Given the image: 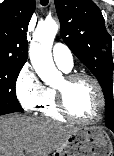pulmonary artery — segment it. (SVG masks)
Masks as SVG:
<instances>
[{"label":"pulmonary artery","mask_w":114,"mask_h":156,"mask_svg":"<svg viewBox=\"0 0 114 156\" xmlns=\"http://www.w3.org/2000/svg\"><path fill=\"white\" fill-rule=\"evenodd\" d=\"M53 60L56 65L64 71H70L73 67V57L70 49L62 44L56 43L52 51Z\"/></svg>","instance_id":"1"}]
</instances>
